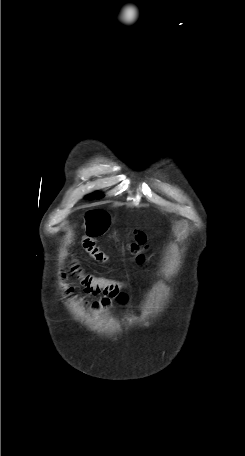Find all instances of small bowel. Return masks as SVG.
<instances>
[{"instance_id":"obj_1","label":"small bowel","mask_w":245,"mask_h":456,"mask_svg":"<svg viewBox=\"0 0 245 456\" xmlns=\"http://www.w3.org/2000/svg\"><path fill=\"white\" fill-rule=\"evenodd\" d=\"M109 225V214L100 209L89 211L85 216L83 224V247L94 259L101 263H105L107 257L96 247L95 239L103 235L107 231ZM76 269L77 267L74 266L73 270ZM80 278L86 293L93 296L103 295L99 302L92 304L94 308H108L113 302L125 304L128 301V295L124 291L125 285L119 280L93 277L90 275H80Z\"/></svg>"}]
</instances>
